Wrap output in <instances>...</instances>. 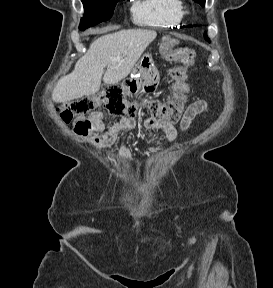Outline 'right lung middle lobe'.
I'll return each instance as SVG.
<instances>
[{"instance_id":"right-lung-middle-lobe-1","label":"right lung middle lobe","mask_w":273,"mask_h":288,"mask_svg":"<svg viewBox=\"0 0 273 288\" xmlns=\"http://www.w3.org/2000/svg\"><path fill=\"white\" fill-rule=\"evenodd\" d=\"M118 0H82L84 17L81 19L79 29L85 30L100 22L109 20L114 12Z\"/></svg>"}]
</instances>
